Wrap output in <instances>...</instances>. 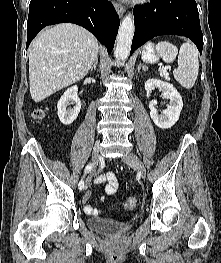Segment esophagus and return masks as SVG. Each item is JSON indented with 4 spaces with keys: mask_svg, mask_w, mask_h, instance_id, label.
<instances>
[{
    "mask_svg": "<svg viewBox=\"0 0 221 263\" xmlns=\"http://www.w3.org/2000/svg\"><path fill=\"white\" fill-rule=\"evenodd\" d=\"M114 7H115L118 15H119L120 17H122L123 14H124V12H125V8H124L121 4H119V3H117V2H114Z\"/></svg>",
    "mask_w": 221,
    "mask_h": 263,
    "instance_id": "34e87169",
    "label": "esophagus"
}]
</instances>
